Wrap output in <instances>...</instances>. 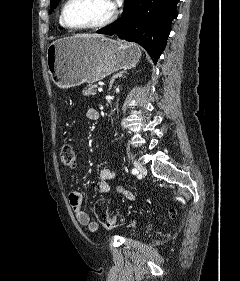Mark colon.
I'll return each mask as SVG.
<instances>
[{
	"instance_id": "obj_1",
	"label": "colon",
	"mask_w": 240,
	"mask_h": 281,
	"mask_svg": "<svg viewBox=\"0 0 240 281\" xmlns=\"http://www.w3.org/2000/svg\"><path fill=\"white\" fill-rule=\"evenodd\" d=\"M59 156L63 167L68 169H74L76 167L77 155L71 144L65 143L60 150ZM93 211L98 221L108 228L117 227L122 223V218L120 216H111L109 214L107 204L103 200H99L94 204ZM170 215L173 217L175 211L171 210Z\"/></svg>"
}]
</instances>
